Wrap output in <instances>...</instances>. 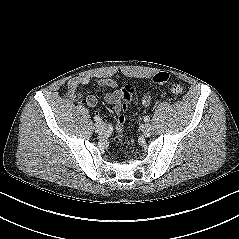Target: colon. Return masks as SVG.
<instances>
[{
  "label": "colon",
  "mask_w": 239,
  "mask_h": 239,
  "mask_svg": "<svg viewBox=\"0 0 239 239\" xmlns=\"http://www.w3.org/2000/svg\"><path fill=\"white\" fill-rule=\"evenodd\" d=\"M169 74L166 72H159L155 74L152 78L153 83L156 85H164L167 84L169 81ZM171 90L174 94L180 95L183 93V87L179 83H173L171 85ZM76 95V94H75ZM134 96V88L132 85L127 84L122 88V97H123V103H122V110H126L129 103L131 102L132 98ZM126 123V117L123 113H121L116 120L115 125V141L121 142L123 138V132L125 128Z\"/></svg>",
  "instance_id": "obj_1"
}]
</instances>
